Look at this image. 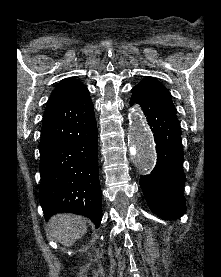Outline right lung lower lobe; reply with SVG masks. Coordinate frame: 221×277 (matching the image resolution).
I'll return each mask as SVG.
<instances>
[{"label":"right lung lower lobe","instance_id":"obj_1","mask_svg":"<svg viewBox=\"0 0 221 277\" xmlns=\"http://www.w3.org/2000/svg\"><path fill=\"white\" fill-rule=\"evenodd\" d=\"M94 106L85 90L48 102L41 130L40 203L53 214L85 215L99 226L102 218Z\"/></svg>","mask_w":221,"mask_h":277}]
</instances>
